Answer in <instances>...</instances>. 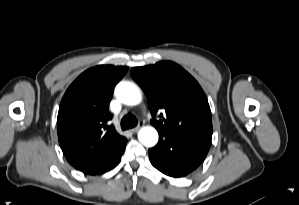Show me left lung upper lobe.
I'll return each mask as SVG.
<instances>
[{
  "instance_id": "left-lung-upper-lobe-1",
  "label": "left lung upper lobe",
  "mask_w": 299,
  "mask_h": 205,
  "mask_svg": "<svg viewBox=\"0 0 299 205\" xmlns=\"http://www.w3.org/2000/svg\"><path fill=\"white\" fill-rule=\"evenodd\" d=\"M131 76L145 92L151 120L159 134L212 138V119L207 97L198 82L181 66L170 62L134 67Z\"/></svg>"
}]
</instances>
